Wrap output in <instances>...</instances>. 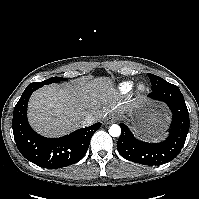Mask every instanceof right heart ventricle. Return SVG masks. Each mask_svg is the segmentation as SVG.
<instances>
[{
	"instance_id": "e07e8e85",
	"label": "right heart ventricle",
	"mask_w": 199,
	"mask_h": 199,
	"mask_svg": "<svg viewBox=\"0 0 199 199\" xmlns=\"http://www.w3.org/2000/svg\"><path fill=\"white\" fill-rule=\"evenodd\" d=\"M132 88H133L132 82L129 81L122 82L117 87V94L119 96H126L131 92Z\"/></svg>"
}]
</instances>
